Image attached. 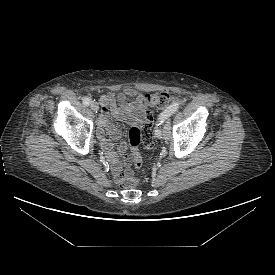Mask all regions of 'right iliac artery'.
<instances>
[{
	"label": "right iliac artery",
	"instance_id": "obj_1",
	"mask_svg": "<svg viewBox=\"0 0 275 275\" xmlns=\"http://www.w3.org/2000/svg\"><path fill=\"white\" fill-rule=\"evenodd\" d=\"M91 103V99L89 97H84L83 98V104L88 106Z\"/></svg>",
	"mask_w": 275,
	"mask_h": 275
}]
</instances>
